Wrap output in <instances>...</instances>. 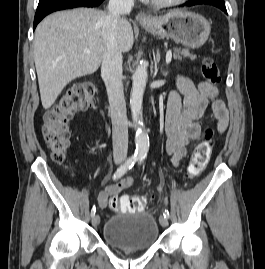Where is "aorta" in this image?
<instances>
[{
    "instance_id": "aorta-1",
    "label": "aorta",
    "mask_w": 265,
    "mask_h": 269,
    "mask_svg": "<svg viewBox=\"0 0 265 269\" xmlns=\"http://www.w3.org/2000/svg\"><path fill=\"white\" fill-rule=\"evenodd\" d=\"M147 78V65L145 63H140L133 75L132 90L130 95L132 119L137 126L135 155L138 158H145L149 150V137L143 128L144 125L142 119V102Z\"/></svg>"
}]
</instances>
